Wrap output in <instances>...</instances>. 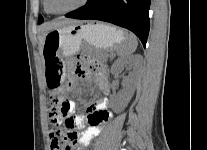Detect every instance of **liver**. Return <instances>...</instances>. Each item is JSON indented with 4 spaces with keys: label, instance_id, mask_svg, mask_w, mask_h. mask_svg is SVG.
Instances as JSON below:
<instances>
[{
    "label": "liver",
    "instance_id": "obj_1",
    "mask_svg": "<svg viewBox=\"0 0 207 150\" xmlns=\"http://www.w3.org/2000/svg\"><path fill=\"white\" fill-rule=\"evenodd\" d=\"M78 22L79 21L73 20V19L58 18V19L53 20L51 22L43 23L39 28V33H40V35H39V45H40V49L42 50L44 37L49 31L60 28L64 25L74 24V23H78Z\"/></svg>",
    "mask_w": 207,
    "mask_h": 150
}]
</instances>
